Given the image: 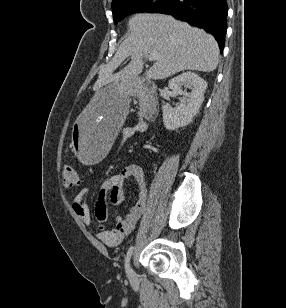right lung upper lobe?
Returning <instances> with one entry per match:
<instances>
[{
	"label": "right lung upper lobe",
	"mask_w": 286,
	"mask_h": 308,
	"mask_svg": "<svg viewBox=\"0 0 286 308\" xmlns=\"http://www.w3.org/2000/svg\"><path fill=\"white\" fill-rule=\"evenodd\" d=\"M118 1H120V0H113L112 1V5H114L116 2H118Z\"/></svg>",
	"instance_id": "cb5924a9"
}]
</instances>
